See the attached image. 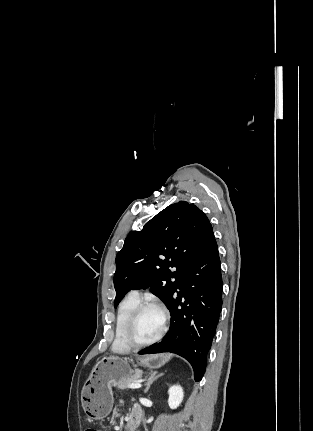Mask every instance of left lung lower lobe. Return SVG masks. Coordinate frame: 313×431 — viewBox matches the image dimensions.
<instances>
[{"mask_svg": "<svg viewBox=\"0 0 313 431\" xmlns=\"http://www.w3.org/2000/svg\"><path fill=\"white\" fill-rule=\"evenodd\" d=\"M222 288L218 247L211 231L167 306L168 333L139 354L176 353L189 361L195 381H200L222 309Z\"/></svg>", "mask_w": 313, "mask_h": 431, "instance_id": "1", "label": "left lung lower lobe"}]
</instances>
